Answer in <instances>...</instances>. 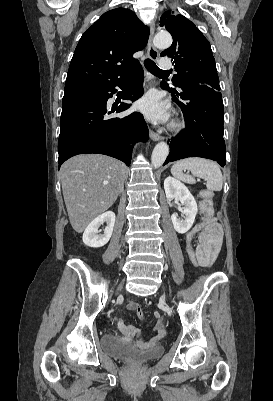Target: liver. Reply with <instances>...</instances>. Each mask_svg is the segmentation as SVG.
Wrapping results in <instances>:
<instances>
[{"label": "liver", "mask_w": 273, "mask_h": 401, "mask_svg": "<svg viewBox=\"0 0 273 401\" xmlns=\"http://www.w3.org/2000/svg\"><path fill=\"white\" fill-rule=\"evenodd\" d=\"M125 164L105 154H77L61 166L60 178L69 221L76 233L103 215L123 192Z\"/></svg>", "instance_id": "6515ba94"}]
</instances>
